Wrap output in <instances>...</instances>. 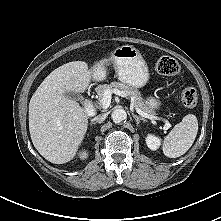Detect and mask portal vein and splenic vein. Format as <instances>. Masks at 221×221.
Wrapping results in <instances>:
<instances>
[{
	"instance_id": "portal-vein-and-splenic-vein-1",
	"label": "portal vein and splenic vein",
	"mask_w": 221,
	"mask_h": 221,
	"mask_svg": "<svg viewBox=\"0 0 221 221\" xmlns=\"http://www.w3.org/2000/svg\"><path fill=\"white\" fill-rule=\"evenodd\" d=\"M112 93H114L116 95H119V96H122V97H126V94L124 92L119 91V90H107V91L104 92L103 98L101 99V104H100L101 108L107 109L110 106ZM135 110L142 117H145V118H148V119H151V120H153V119L154 120H160L161 119L159 117L147 114V113L143 112L142 110H140L139 108L135 107ZM162 121L165 122V128L166 129L171 127V124L169 123V121H167L166 119H162Z\"/></svg>"
}]
</instances>
